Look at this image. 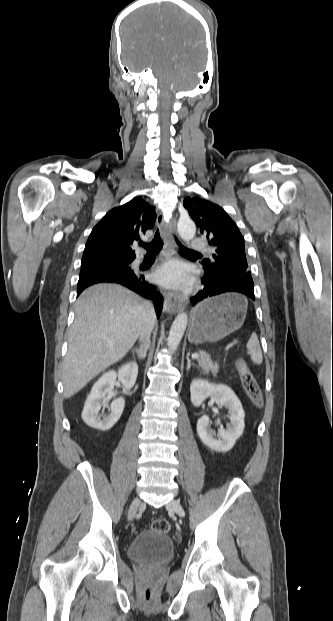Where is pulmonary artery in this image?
Returning a JSON list of instances; mask_svg holds the SVG:
<instances>
[{
    "instance_id": "pulmonary-artery-1",
    "label": "pulmonary artery",
    "mask_w": 333,
    "mask_h": 621,
    "mask_svg": "<svg viewBox=\"0 0 333 621\" xmlns=\"http://www.w3.org/2000/svg\"><path fill=\"white\" fill-rule=\"evenodd\" d=\"M191 249L193 251H202L206 249V243L203 239L201 238H194L191 241ZM139 260H137L138 262Z\"/></svg>"
}]
</instances>
